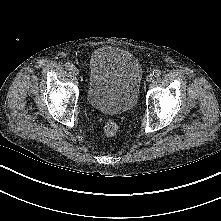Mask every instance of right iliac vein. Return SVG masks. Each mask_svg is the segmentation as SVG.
<instances>
[{"mask_svg": "<svg viewBox=\"0 0 221 221\" xmlns=\"http://www.w3.org/2000/svg\"><path fill=\"white\" fill-rule=\"evenodd\" d=\"M71 73H72V75H74V76H78V75H79V70H78L77 68H73V69L71 70Z\"/></svg>", "mask_w": 221, "mask_h": 221, "instance_id": "obj_1", "label": "right iliac vein"}]
</instances>
